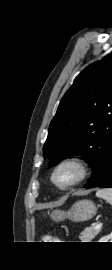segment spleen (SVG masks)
Listing matches in <instances>:
<instances>
[{"mask_svg": "<svg viewBox=\"0 0 112 270\" xmlns=\"http://www.w3.org/2000/svg\"><path fill=\"white\" fill-rule=\"evenodd\" d=\"M96 196L106 200L112 205V188L99 189L96 192Z\"/></svg>", "mask_w": 112, "mask_h": 270, "instance_id": "1", "label": "spleen"}]
</instances>
